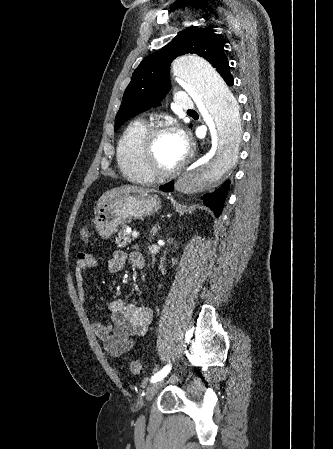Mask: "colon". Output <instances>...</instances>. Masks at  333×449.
<instances>
[{"mask_svg":"<svg viewBox=\"0 0 333 449\" xmlns=\"http://www.w3.org/2000/svg\"><path fill=\"white\" fill-rule=\"evenodd\" d=\"M91 229L89 226H84L80 230V239L83 241H87L90 238ZM130 371L133 374H140L142 372V366L138 360H131L129 362Z\"/></svg>","mask_w":333,"mask_h":449,"instance_id":"obj_1","label":"colon"}]
</instances>
